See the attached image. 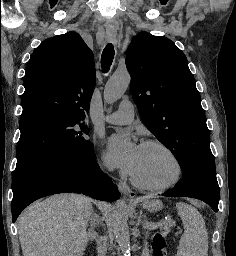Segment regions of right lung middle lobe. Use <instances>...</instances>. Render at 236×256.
Wrapping results in <instances>:
<instances>
[{
  "mask_svg": "<svg viewBox=\"0 0 236 256\" xmlns=\"http://www.w3.org/2000/svg\"><path fill=\"white\" fill-rule=\"evenodd\" d=\"M82 120L49 112L20 118L17 163L50 152L80 154L91 151L93 146L84 137L88 129Z\"/></svg>",
  "mask_w": 236,
  "mask_h": 256,
  "instance_id": "right-lung-middle-lobe-1",
  "label": "right lung middle lobe"
}]
</instances>
